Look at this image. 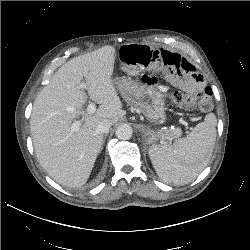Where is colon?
Returning a JSON list of instances; mask_svg holds the SVG:
<instances>
[{"instance_id":"5ec220e1","label":"colon","mask_w":250,"mask_h":250,"mask_svg":"<svg viewBox=\"0 0 250 250\" xmlns=\"http://www.w3.org/2000/svg\"><path fill=\"white\" fill-rule=\"evenodd\" d=\"M169 98L175 105L185 109H199L206 112L212 108V92L206 87L203 92L189 93L183 91H173L169 93Z\"/></svg>"}]
</instances>
